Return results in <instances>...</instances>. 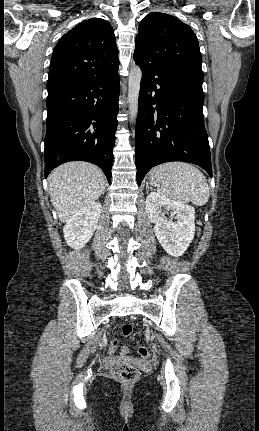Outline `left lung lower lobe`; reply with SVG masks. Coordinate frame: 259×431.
<instances>
[{
  "mask_svg": "<svg viewBox=\"0 0 259 431\" xmlns=\"http://www.w3.org/2000/svg\"><path fill=\"white\" fill-rule=\"evenodd\" d=\"M134 60L142 68L135 135L138 185L152 167L170 161L197 164L212 177L202 84L138 56Z\"/></svg>",
  "mask_w": 259,
  "mask_h": 431,
  "instance_id": "left-lung-lower-lobe-1",
  "label": "left lung lower lobe"
}]
</instances>
